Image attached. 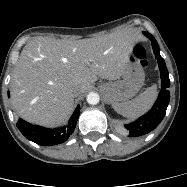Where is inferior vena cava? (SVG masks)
Wrapping results in <instances>:
<instances>
[{
    "label": "inferior vena cava",
    "instance_id": "1",
    "mask_svg": "<svg viewBox=\"0 0 187 187\" xmlns=\"http://www.w3.org/2000/svg\"><path fill=\"white\" fill-rule=\"evenodd\" d=\"M71 92L74 97L78 96V94H79L78 90H76V89L72 90Z\"/></svg>",
    "mask_w": 187,
    "mask_h": 187
}]
</instances>
